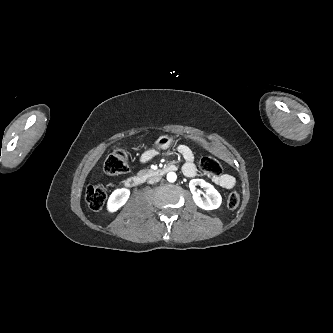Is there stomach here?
Instances as JSON below:
<instances>
[{
    "label": "stomach",
    "instance_id": "1",
    "mask_svg": "<svg viewBox=\"0 0 333 333\" xmlns=\"http://www.w3.org/2000/svg\"><path fill=\"white\" fill-rule=\"evenodd\" d=\"M173 139L168 135L161 136L156 141V147L159 150H166L172 145Z\"/></svg>",
    "mask_w": 333,
    "mask_h": 333
}]
</instances>
